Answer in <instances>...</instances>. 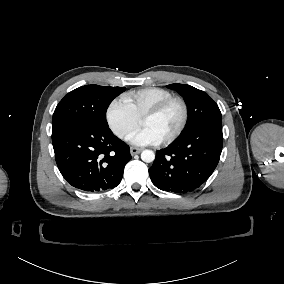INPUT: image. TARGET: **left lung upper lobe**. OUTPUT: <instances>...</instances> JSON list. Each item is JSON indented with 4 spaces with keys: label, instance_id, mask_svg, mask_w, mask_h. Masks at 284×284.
Listing matches in <instances>:
<instances>
[{
    "label": "left lung upper lobe",
    "instance_id": "5c2ea615",
    "mask_svg": "<svg viewBox=\"0 0 284 284\" xmlns=\"http://www.w3.org/2000/svg\"><path fill=\"white\" fill-rule=\"evenodd\" d=\"M167 87L181 94L187 104L185 131L205 124H222L220 109L207 93L186 84L175 83Z\"/></svg>",
    "mask_w": 284,
    "mask_h": 284
}]
</instances>
